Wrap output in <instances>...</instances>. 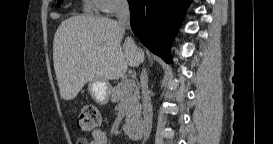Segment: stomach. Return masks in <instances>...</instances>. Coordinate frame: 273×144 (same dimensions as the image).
Instances as JSON below:
<instances>
[{"label": "stomach", "mask_w": 273, "mask_h": 144, "mask_svg": "<svg viewBox=\"0 0 273 144\" xmlns=\"http://www.w3.org/2000/svg\"><path fill=\"white\" fill-rule=\"evenodd\" d=\"M110 84L106 80H92L88 83V92L92 99L100 105H105L110 99Z\"/></svg>", "instance_id": "0dacf381"}]
</instances>
